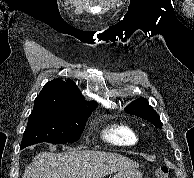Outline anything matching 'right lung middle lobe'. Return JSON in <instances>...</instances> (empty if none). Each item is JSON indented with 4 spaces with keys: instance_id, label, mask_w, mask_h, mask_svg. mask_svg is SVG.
I'll use <instances>...</instances> for the list:
<instances>
[{
    "instance_id": "1",
    "label": "right lung middle lobe",
    "mask_w": 194,
    "mask_h": 178,
    "mask_svg": "<svg viewBox=\"0 0 194 178\" xmlns=\"http://www.w3.org/2000/svg\"><path fill=\"white\" fill-rule=\"evenodd\" d=\"M90 112H71L47 103H34L21 148L40 143H73L80 138Z\"/></svg>"
}]
</instances>
